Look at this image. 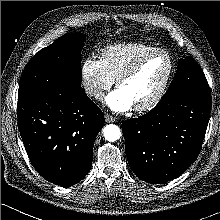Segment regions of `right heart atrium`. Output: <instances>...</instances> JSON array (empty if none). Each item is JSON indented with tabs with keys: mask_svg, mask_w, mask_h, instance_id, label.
<instances>
[{
	"mask_svg": "<svg viewBox=\"0 0 220 220\" xmlns=\"http://www.w3.org/2000/svg\"><path fill=\"white\" fill-rule=\"evenodd\" d=\"M81 84L85 93L94 100H101L104 92L108 90L114 79L105 70L101 59L88 56L80 69Z\"/></svg>",
	"mask_w": 220,
	"mask_h": 220,
	"instance_id": "right-heart-atrium-1",
	"label": "right heart atrium"
}]
</instances>
